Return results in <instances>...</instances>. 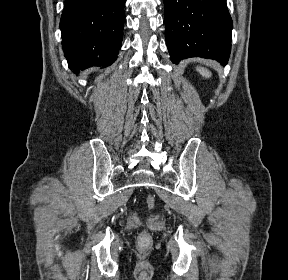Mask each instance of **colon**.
<instances>
[{"label":"colon","mask_w":288,"mask_h":280,"mask_svg":"<svg viewBox=\"0 0 288 280\" xmlns=\"http://www.w3.org/2000/svg\"><path fill=\"white\" fill-rule=\"evenodd\" d=\"M156 205V200L149 195L146 198V206L148 209H153ZM151 243V236L147 232H142L138 238V245L140 248H147Z\"/></svg>","instance_id":"obj_1"}]
</instances>
